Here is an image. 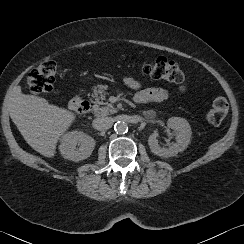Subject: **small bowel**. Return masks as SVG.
<instances>
[{
    "mask_svg": "<svg viewBox=\"0 0 244 244\" xmlns=\"http://www.w3.org/2000/svg\"><path fill=\"white\" fill-rule=\"evenodd\" d=\"M124 84L130 89L136 91L134 100L136 103L159 102L168 98V90L160 87L143 88L142 83L132 77H126ZM187 90L186 85H181L179 91L184 93Z\"/></svg>",
    "mask_w": 244,
    "mask_h": 244,
    "instance_id": "obj_1",
    "label": "small bowel"
}]
</instances>
